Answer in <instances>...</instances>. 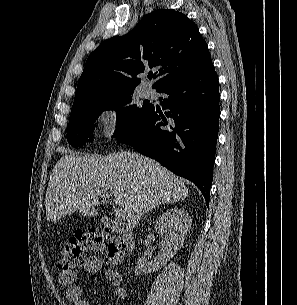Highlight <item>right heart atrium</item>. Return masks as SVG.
Listing matches in <instances>:
<instances>
[{"label": "right heart atrium", "mask_w": 297, "mask_h": 305, "mask_svg": "<svg viewBox=\"0 0 297 305\" xmlns=\"http://www.w3.org/2000/svg\"><path fill=\"white\" fill-rule=\"evenodd\" d=\"M97 123L102 140L111 141L118 137L123 126L122 106L118 102H108L98 111Z\"/></svg>", "instance_id": "obj_1"}]
</instances>
